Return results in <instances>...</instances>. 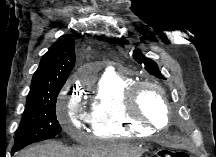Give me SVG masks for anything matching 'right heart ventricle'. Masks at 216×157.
Masks as SVG:
<instances>
[{"label": "right heart ventricle", "instance_id": "right-heart-ventricle-1", "mask_svg": "<svg viewBox=\"0 0 216 157\" xmlns=\"http://www.w3.org/2000/svg\"><path fill=\"white\" fill-rule=\"evenodd\" d=\"M135 82L118 72L105 73L99 79L90 104L89 124L94 137H132L153 130L126 113V92Z\"/></svg>", "mask_w": 216, "mask_h": 157}]
</instances>
